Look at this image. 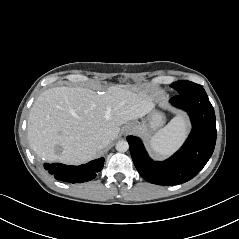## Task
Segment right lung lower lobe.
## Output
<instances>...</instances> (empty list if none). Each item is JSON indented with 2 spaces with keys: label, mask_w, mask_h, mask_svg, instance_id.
Listing matches in <instances>:
<instances>
[{
  "label": "right lung lower lobe",
  "mask_w": 239,
  "mask_h": 239,
  "mask_svg": "<svg viewBox=\"0 0 239 239\" xmlns=\"http://www.w3.org/2000/svg\"><path fill=\"white\" fill-rule=\"evenodd\" d=\"M104 159H96L80 166H69L64 164H45V169L53 174L55 179L70 183L87 182L96 177V173L101 171Z\"/></svg>",
  "instance_id": "obj_1"
}]
</instances>
